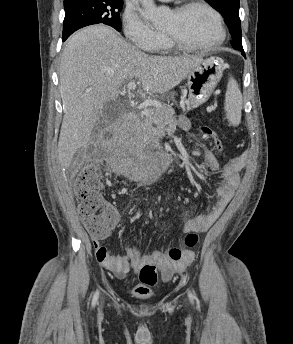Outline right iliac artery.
<instances>
[{
  "instance_id": "82829eb1",
  "label": "right iliac artery",
  "mask_w": 293,
  "mask_h": 344,
  "mask_svg": "<svg viewBox=\"0 0 293 344\" xmlns=\"http://www.w3.org/2000/svg\"><path fill=\"white\" fill-rule=\"evenodd\" d=\"M98 296H99V292L97 291L94 296H93V300H92V304L95 305L97 300H98Z\"/></svg>"
}]
</instances>
